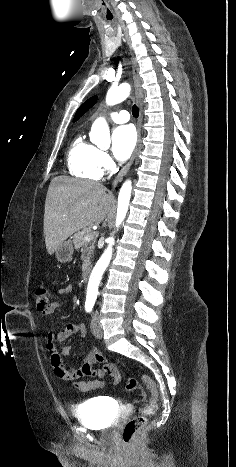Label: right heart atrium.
Segmentation results:
<instances>
[{
  "label": "right heart atrium",
  "mask_w": 236,
  "mask_h": 467,
  "mask_svg": "<svg viewBox=\"0 0 236 467\" xmlns=\"http://www.w3.org/2000/svg\"><path fill=\"white\" fill-rule=\"evenodd\" d=\"M97 161L101 170H109L113 167V161L111 157L103 150H98Z\"/></svg>",
  "instance_id": "d8ad5b80"
}]
</instances>
